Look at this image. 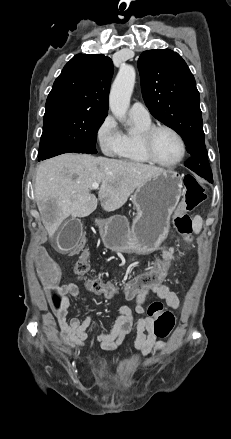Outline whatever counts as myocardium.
Masks as SVG:
<instances>
[{
    "instance_id": "myocardium-1",
    "label": "myocardium",
    "mask_w": 231,
    "mask_h": 439,
    "mask_svg": "<svg viewBox=\"0 0 231 439\" xmlns=\"http://www.w3.org/2000/svg\"><path fill=\"white\" fill-rule=\"evenodd\" d=\"M160 130H166V131L172 133L178 139V141L180 143L181 154H180L179 158L177 160H175L174 162H171V163L162 162L154 154L153 144H152L153 137ZM139 142H140V147H141L144 155L146 156V158L150 162H152L156 165L165 167V168H173V167L179 165L184 160L185 155H186V151H187L186 143H185V140L182 137V135L173 127H171L169 125H165V124L151 125L149 128L142 131L140 136H139Z\"/></svg>"
}]
</instances>
